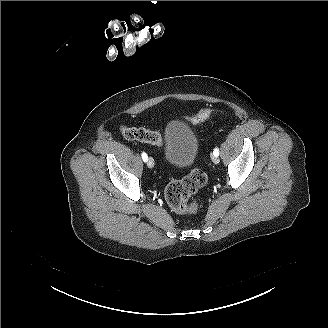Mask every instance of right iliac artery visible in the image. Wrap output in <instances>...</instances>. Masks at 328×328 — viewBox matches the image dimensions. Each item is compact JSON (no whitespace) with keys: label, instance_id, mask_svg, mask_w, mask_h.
Masks as SVG:
<instances>
[{"label":"right iliac artery","instance_id":"82829eb1","mask_svg":"<svg viewBox=\"0 0 328 328\" xmlns=\"http://www.w3.org/2000/svg\"><path fill=\"white\" fill-rule=\"evenodd\" d=\"M142 159H143L144 162H146L147 159H148L147 154L144 153V152L142 153Z\"/></svg>","mask_w":328,"mask_h":328}]
</instances>
